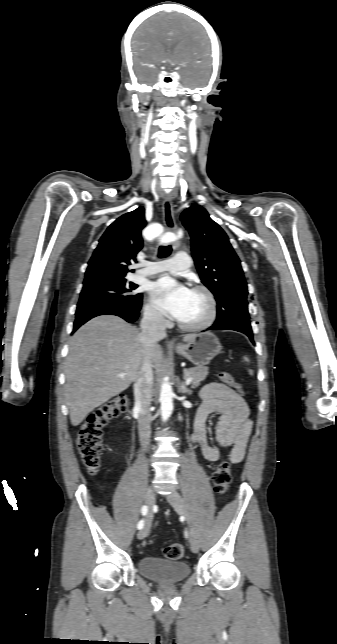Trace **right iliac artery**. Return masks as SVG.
I'll return each mask as SVG.
<instances>
[{
	"label": "right iliac artery",
	"mask_w": 337,
	"mask_h": 644,
	"mask_svg": "<svg viewBox=\"0 0 337 644\" xmlns=\"http://www.w3.org/2000/svg\"><path fill=\"white\" fill-rule=\"evenodd\" d=\"M141 513H142V515H143V516H145V515L148 513V507H147L146 505L142 506V508H141ZM143 526H144V520L142 519V520H140V521L138 522V524H137V528H138V529H142V528H143Z\"/></svg>",
	"instance_id": "obj_1"
}]
</instances>
